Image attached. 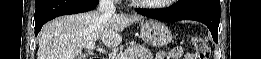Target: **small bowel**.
Returning <instances> with one entry per match:
<instances>
[{
    "label": "small bowel",
    "instance_id": "small-bowel-1",
    "mask_svg": "<svg viewBox=\"0 0 261 59\" xmlns=\"http://www.w3.org/2000/svg\"><path fill=\"white\" fill-rule=\"evenodd\" d=\"M194 56H195L194 54H190V53L186 54V57H190L187 59H195V58H192ZM156 58L157 59H170L171 57H170L169 53L159 52Z\"/></svg>",
    "mask_w": 261,
    "mask_h": 59
}]
</instances>
